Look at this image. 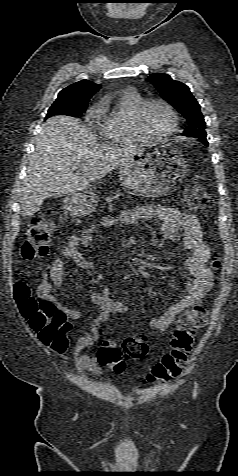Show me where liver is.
I'll use <instances>...</instances> for the list:
<instances>
[{"label": "liver", "instance_id": "6515ba94", "mask_svg": "<svg viewBox=\"0 0 238 476\" xmlns=\"http://www.w3.org/2000/svg\"><path fill=\"white\" fill-rule=\"evenodd\" d=\"M142 152L143 149L133 146L121 148L98 143L77 118H49L42 125L23 180L20 195L23 216L34 215L48 197H61L91 186Z\"/></svg>", "mask_w": 238, "mask_h": 476}]
</instances>
